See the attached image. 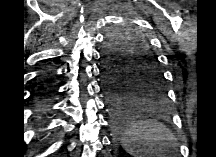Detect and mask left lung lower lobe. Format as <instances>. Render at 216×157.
<instances>
[{
  "label": "left lung lower lobe",
  "mask_w": 216,
  "mask_h": 157,
  "mask_svg": "<svg viewBox=\"0 0 216 157\" xmlns=\"http://www.w3.org/2000/svg\"><path fill=\"white\" fill-rule=\"evenodd\" d=\"M103 67V86L108 99V104L111 108L114 118V128L116 132L123 134L127 129L130 128L133 120L132 104L135 96L132 92L126 91L120 83L113 80L109 76L108 69L105 64Z\"/></svg>",
  "instance_id": "obj_1"
}]
</instances>
